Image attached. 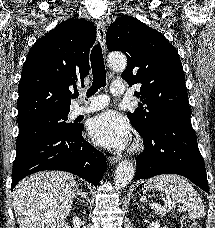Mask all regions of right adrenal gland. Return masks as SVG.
<instances>
[{
  "label": "right adrenal gland",
  "instance_id": "2a0ac1e0",
  "mask_svg": "<svg viewBox=\"0 0 215 228\" xmlns=\"http://www.w3.org/2000/svg\"><path fill=\"white\" fill-rule=\"evenodd\" d=\"M76 196H79L80 200H83V198H85V206H88V198L85 194V192H83L82 188H76Z\"/></svg>",
  "mask_w": 215,
  "mask_h": 228
}]
</instances>
